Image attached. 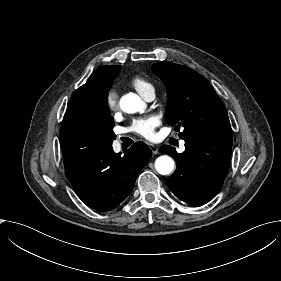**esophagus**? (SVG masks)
<instances>
[{
	"instance_id": "esophagus-1",
	"label": "esophagus",
	"mask_w": 281,
	"mask_h": 281,
	"mask_svg": "<svg viewBox=\"0 0 281 281\" xmlns=\"http://www.w3.org/2000/svg\"><path fill=\"white\" fill-rule=\"evenodd\" d=\"M148 146L150 147L151 151L153 154H157L158 153V148L157 146H155L154 144L152 143H148Z\"/></svg>"
}]
</instances>
